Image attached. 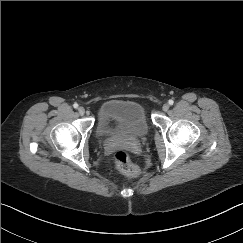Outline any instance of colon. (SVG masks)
I'll return each instance as SVG.
<instances>
[{
	"label": "colon",
	"mask_w": 243,
	"mask_h": 243,
	"mask_svg": "<svg viewBox=\"0 0 243 243\" xmlns=\"http://www.w3.org/2000/svg\"><path fill=\"white\" fill-rule=\"evenodd\" d=\"M114 159L117 168L122 174L132 178L140 176V169L131 162L128 154L125 151L120 150L116 152Z\"/></svg>",
	"instance_id": "1"
}]
</instances>
